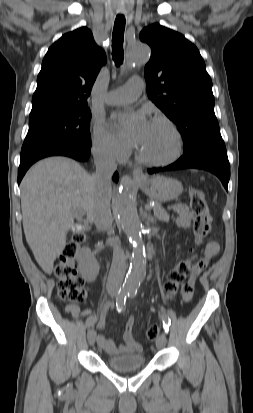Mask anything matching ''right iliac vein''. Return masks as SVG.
I'll use <instances>...</instances> for the list:
<instances>
[{
    "label": "right iliac vein",
    "instance_id": "1",
    "mask_svg": "<svg viewBox=\"0 0 253 413\" xmlns=\"http://www.w3.org/2000/svg\"><path fill=\"white\" fill-rule=\"evenodd\" d=\"M87 339L89 344L92 346L96 340V331L93 328H90L87 333Z\"/></svg>",
    "mask_w": 253,
    "mask_h": 413
}]
</instances>
